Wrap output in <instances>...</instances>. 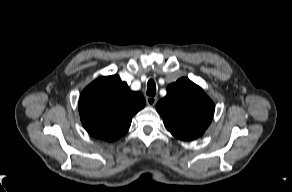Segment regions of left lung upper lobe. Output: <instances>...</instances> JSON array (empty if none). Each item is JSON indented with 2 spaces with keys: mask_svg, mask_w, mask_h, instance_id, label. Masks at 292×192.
<instances>
[{
  "mask_svg": "<svg viewBox=\"0 0 292 192\" xmlns=\"http://www.w3.org/2000/svg\"><path fill=\"white\" fill-rule=\"evenodd\" d=\"M156 110L174 137L188 141L205 132L214 114V103L202 88L181 78L167 87V95L158 101Z\"/></svg>",
  "mask_w": 292,
  "mask_h": 192,
  "instance_id": "1",
  "label": "left lung upper lobe"
}]
</instances>
